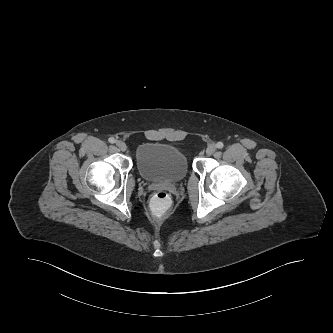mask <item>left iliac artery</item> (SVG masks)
Returning <instances> with one entry per match:
<instances>
[{"mask_svg": "<svg viewBox=\"0 0 333 333\" xmlns=\"http://www.w3.org/2000/svg\"><path fill=\"white\" fill-rule=\"evenodd\" d=\"M216 146H217V148L222 149L223 146H224V144H223L222 142H218V143L216 144Z\"/></svg>", "mask_w": 333, "mask_h": 333, "instance_id": "left-iliac-artery-1", "label": "left iliac artery"}]
</instances>
